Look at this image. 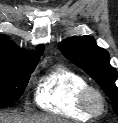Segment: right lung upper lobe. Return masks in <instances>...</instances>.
<instances>
[{
    "mask_svg": "<svg viewBox=\"0 0 118 123\" xmlns=\"http://www.w3.org/2000/svg\"><path fill=\"white\" fill-rule=\"evenodd\" d=\"M43 51V45H39L37 51L33 52L20 50L14 42L10 41L6 36L0 35V61L10 62L27 69H34Z\"/></svg>",
    "mask_w": 118,
    "mask_h": 123,
    "instance_id": "obj_1",
    "label": "right lung upper lobe"
}]
</instances>
